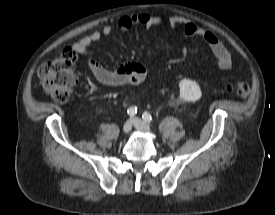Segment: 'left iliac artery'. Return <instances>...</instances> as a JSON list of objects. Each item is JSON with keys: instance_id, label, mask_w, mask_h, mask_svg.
Masks as SVG:
<instances>
[{"instance_id": "left-iliac-artery-1", "label": "left iliac artery", "mask_w": 275, "mask_h": 215, "mask_svg": "<svg viewBox=\"0 0 275 215\" xmlns=\"http://www.w3.org/2000/svg\"><path fill=\"white\" fill-rule=\"evenodd\" d=\"M142 118L147 123H150L152 121V116L149 113H147V112H144L142 114Z\"/></svg>"}]
</instances>
